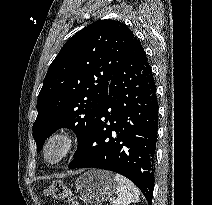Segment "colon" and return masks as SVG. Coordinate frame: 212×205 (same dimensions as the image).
Wrapping results in <instances>:
<instances>
[{
    "label": "colon",
    "mask_w": 212,
    "mask_h": 205,
    "mask_svg": "<svg viewBox=\"0 0 212 205\" xmlns=\"http://www.w3.org/2000/svg\"><path fill=\"white\" fill-rule=\"evenodd\" d=\"M44 194L47 198L55 201H64L67 202L68 205H79L69 186L62 182H54L50 184L45 189Z\"/></svg>",
    "instance_id": "colon-1"
}]
</instances>
